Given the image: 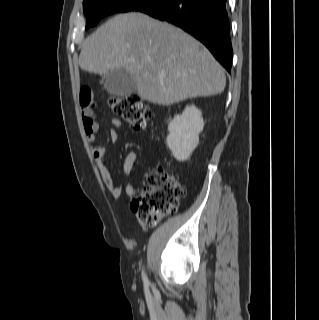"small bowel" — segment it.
Segmentation results:
<instances>
[{
  "label": "small bowel",
  "instance_id": "small-bowel-1",
  "mask_svg": "<svg viewBox=\"0 0 319 320\" xmlns=\"http://www.w3.org/2000/svg\"><path fill=\"white\" fill-rule=\"evenodd\" d=\"M80 104L82 106V121L87 139L90 142H94L96 140V133L99 129V124L95 118V112L93 109V92L90 88H81ZM112 125L113 129L110 131V136L112 140L116 141L120 136L119 130L123 128V122L119 118H114L112 120ZM91 153L102 181L105 183L113 197L120 199L123 195V190L115 182L110 170L104 163L106 148L103 146H94L91 149ZM137 159L138 155L136 152L131 151L126 154L123 161L124 174H131ZM125 192L129 196H134L137 193V189L132 182H129L125 187Z\"/></svg>",
  "mask_w": 319,
  "mask_h": 320
}]
</instances>
